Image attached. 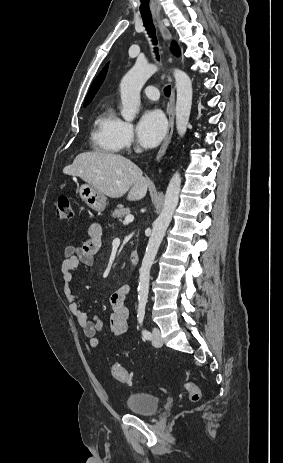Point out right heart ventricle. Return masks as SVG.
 Returning <instances> with one entry per match:
<instances>
[{
    "label": "right heart ventricle",
    "instance_id": "e07e8e85",
    "mask_svg": "<svg viewBox=\"0 0 283 463\" xmlns=\"http://www.w3.org/2000/svg\"><path fill=\"white\" fill-rule=\"evenodd\" d=\"M121 119L112 107L102 109L93 124L91 141L93 148L106 154L117 153L122 144L119 137Z\"/></svg>",
    "mask_w": 283,
    "mask_h": 463
}]
</instances>
